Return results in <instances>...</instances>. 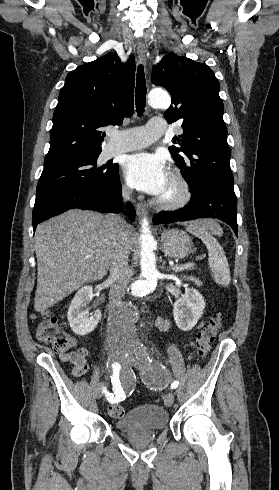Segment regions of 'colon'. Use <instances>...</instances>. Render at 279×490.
Wrapping results in <instances>:
<instances>
[{"instance_id": "1", "label": "colon", "mask_w": 279, "mask_h": 490, "mask_svg": "<svg viewBox=\"0 0 279 490\" xmlns=\"http://www.w3.org/2000/svg\"><path fill=\"white\" fill-rule=\"evenodd\" d=\"M221 324L220 317L215 316L202 329L197 337L195 346L198 357L204 358L207 356L210 344L215 339ZM36 334L42 343L51 346L55 352L61 354L70 353V347H75V341H78L70 334L63 332L57 325L55 317L48 312H43L40 315ZM108 414L113 418H120L124 414V407L119 404H111L108 407Z\"/></svg>"}]
</instances>
